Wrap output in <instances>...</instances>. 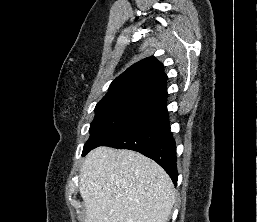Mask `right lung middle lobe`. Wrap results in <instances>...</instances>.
Here are the masks:
<instances>
[{"mask_svg": "<svg viewBox=\"0 0 257 222\" xmlns=\"http://www.w3.org/2000/svg\"><path fill=\"white\" fill-rule=\"evenodd\" d=\"M163 107L140 99L100 101L95 107V117L90 125V137L83 148V155L118 135L154 116Z\"/></svg>", "mask_w": 257, "mask_h": 222, "instance_id": "obj_1", "label": "right lung middle lobe"}]
</instances>
